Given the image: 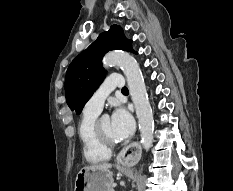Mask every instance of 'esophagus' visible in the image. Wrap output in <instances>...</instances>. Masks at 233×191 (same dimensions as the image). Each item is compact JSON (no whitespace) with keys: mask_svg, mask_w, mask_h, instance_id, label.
Listing matches in <instances>:
<instances>
[{"mask_svg":"<svg viewBox=\"0 0 233 191\" xmlns=\"http://www.w3.org/2000/svg\"><path fill=\"white\" fill-rule=\"evenodd\" d=\"M141 154V147L138 142H133L123 148L117 156L118 162L123 164H137V159Z\"/></svg>","mask_w":233,"mask_h":191,"instance_id":"34e87169","label":"esophagus"}]
</instances>
